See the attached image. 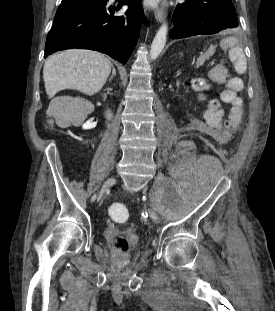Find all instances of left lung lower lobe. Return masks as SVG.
<instances>
[{"label":"left lung lower lobe","mask_w":275,"mask_h":311,"mask_svg":"<svg viewBox=\"0 0 275 311\" xmlns=\"http://www.w3.org/2000/svg\"><path fill=\"white\" fill-rule=\"evenodd\" d=\"M174 27L170 38L209 35L238 27L231 0H186L178 3L172 16Z\"/></svg>","instance_id":"left-lung-lower-lobe-1"}]
</instances>
